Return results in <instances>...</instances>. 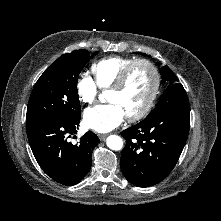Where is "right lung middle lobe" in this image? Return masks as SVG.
Returning <instances> with one entry per match:
<instances>
[{"instance_id":"right-lung-middle-lobe-1","label":"right lung middle lobe","mask_w":221,"mask_h":221,"mask_svg":"<svg viewBox=\"0 0 221 221\" xmlns=\"http://www.w3.org/2000/svg\"><path fill=\"white\" fill-rule=\"evenodd\" d=\"M87 50L66 53L53 62L40 76L31 92L26 121L63 116L78 118L81 106L77 91L78 77L84 65L96 55Z\"/></svg>"}]
</instances>
